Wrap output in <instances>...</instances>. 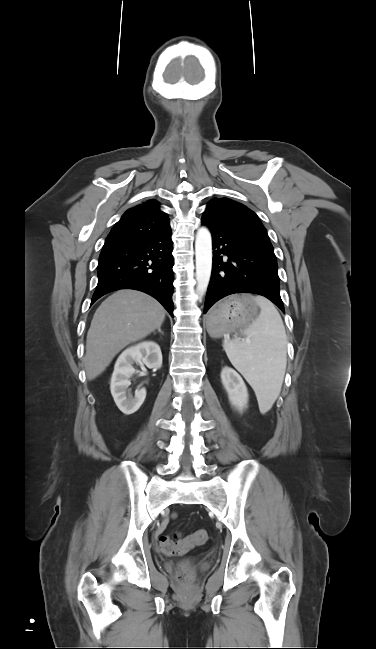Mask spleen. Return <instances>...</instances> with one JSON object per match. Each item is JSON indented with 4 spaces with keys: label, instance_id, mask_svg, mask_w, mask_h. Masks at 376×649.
I'll return each mask as SVG.
<instances>
[{
    "label": "spleen",
    "instance_id": "3e777b00",
    "mask_svg": "<svg viewBox=\"0 0 376 649\" xmlns=\"http://www.w3.org/2000/svg\"><path fill=\"white\" fill-rule=\"evenodd\" d=\"M261 312L243 333L250 339L237 337L224 340L223 348L232 365L251 384L261 413L271 409L280 394L286 370L287 337L281 316L266 298L254 297Z\"/></svg>",
    "mask_w": 376,
    "mask_h": 649
}]
</instances>
